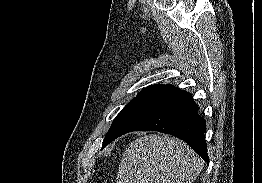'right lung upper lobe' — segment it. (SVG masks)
<instances>
[{
  "mask_svg": "<svg viewBox=\"0 0 262 183\" xmlns=\"http://www.w3.org/2000/svg\"><path fill=\"white\" fill-rule=\"evenodd\" d=\"M165 86L166 85L155 84V85L148 86L147 88H144L143 91L141 92H158Z\"/></svg>",
  "mask_w": 262,
  "mask_h": 183,
  "instance_id": "obj_1",
  "label": "right lung upper lobe"
}]
</instances>
